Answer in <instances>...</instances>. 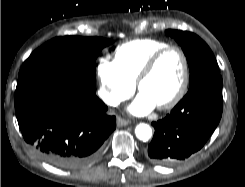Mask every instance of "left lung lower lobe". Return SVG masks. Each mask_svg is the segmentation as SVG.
I'll list each match as a JSON object with an SVG mask.
<instances>
[{"instance_id":"obj_1","label":"left lung lower lobe","mask_w":245,"mask_h":187,"mask_svg":"<svg viewBox=\"0 0 245 187\" xmlns=\"http://www.w3.org/2000/svg\"><path fill=\"white\" fill-rule=\"evenodd\" d=\"M222 115V77L205 79L191 88L162 120L153 122L155 133L147 158L168 165L200 150L216 129Z\"/></svg>"}]
</instances>
